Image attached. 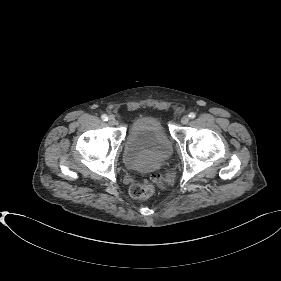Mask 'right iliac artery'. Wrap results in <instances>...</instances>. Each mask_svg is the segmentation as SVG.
Returning a JSON list of instances; mask_svg holds the SVG:
<instances>
[{"label": "right iliac artery", "instance_id": "right-iliac-artery-1", "mask_svg": "<svg viewBox=\"0 0 281 281\" xmlns=\"http://www.w3.org/2000/svg\"><path fill=\"white\" fill-rule=\"evenodd\" d=\"M101 118H102L103 121H107V120H108V117H107V115H105V114H103V115L101 116Z\"/></svg>", "mask_w": 281, "mask_h": 281}]
</instances>
